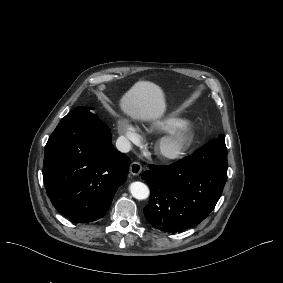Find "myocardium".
<instances>
[{
    "instance_id": "obj_1",
    "label": "myocardium",
    "mask_w": 283,
    "mask_h": 283,
    "mask_svg": "<svg viewBox=\"0 0 283 283\" xmlns=\"http://www.w3.org/2000/svg\"><path fill=\"white\" fill-rule=\"evenodd\" d=\"M193 129L188 122H181L176 128L162 134L158 139V146L171 148V151L161 157L166 165L181 161L188 154L193 142Z\"/></svg>"
}]
</instances>
